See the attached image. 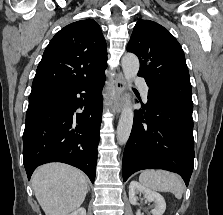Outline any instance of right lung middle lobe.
<instances>
[{"mask_svg":"<svg viewBox=\"0 0 223 215\" xmlns=\"http://www.w3.org/2000/svg\"><path fill=\"white\" fill-rule=\"evenodd\" d=\"M61 96L60 94H39L29 96V106L44 103Z\"/></svg>","mask_w":223,"mask_h":215,"instance_id":"1","label":"right lung middle lobe"}]
</instances>
